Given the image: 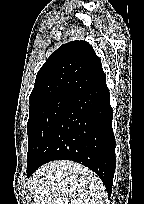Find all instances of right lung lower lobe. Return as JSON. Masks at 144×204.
I'll return each instance as SVG.
<instances>
[{
  "label": "right lung lower lobe",
  "instance_id": "1",
  "mask_svg": "<svg viewBox=\"0 0 144 204\" xmlns=\"http://www.w3.org/2000/svg\"><path fill=\"white\" fill-rule=\"evenodd\" d=\"M106 81L74 97L27 168L30 177L44 163L72 160L93 170L112 192L115 137Z\"/></svg>",
  "mask_w": 144,
  "mask_h": 204
}]
</instances>
